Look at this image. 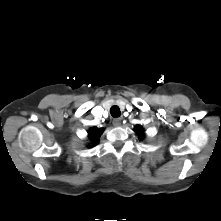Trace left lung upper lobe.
I'll use <instances>...</instances> for the list:
<instances>
[{
  "label": "left lung upper lobe",
  "mask_w": 221,
  "mask_h": 221,
  "mask_svg": "<svg viewBox=\"0 0 221 221\" xmlns=\"http://www.w3.org/2000/svg\"><path fill=\"white\" fill-rule=\"evenodd\" d=\"M136 130L138 131V135H141V133L143 132V129L140 126H137ZM140 138L143 139V136H141Z\"/></svg>",
  "instance_id": "5c2ea615"
}]
</instances>
